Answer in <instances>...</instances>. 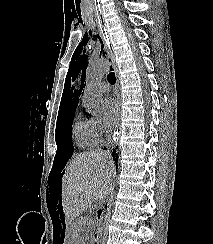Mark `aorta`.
<instances>
[{
    "instance_id": "762f6f07",
    "label": "aorta",
    "mask_w": 213,
    "mask_h": 244,
    "mask_svg": "<svg viewBox=\"0 0 213 244\" xmlns=\"http://www.w3.org/2000/svg\"><path fill=\"white\" fill-rule=\"evenodd\" d=\"M109 70V62L105 59L92 60L86 70V86L83 93V103L88 113L96 116L102 112L103 98L97 88V83L103 79Z\"/></svg>"
}]
</instances>
